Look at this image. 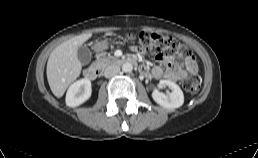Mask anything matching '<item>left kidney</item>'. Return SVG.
<instances>
[{
	"instance_id": "1",
	"label": "left kidney",
	"mask_w": 258,
	"mask_h": 158,
	"mask_svg": "<svg viewBox=\"0 0 258 158\" xmlns=\"http://www.w3.org/2000/svg\"><path fill=\"white\" fill-rule=\"evenodd\" d=\"M165 86H168L171 89V92L168 95H165L155 89L152 92L153 100L164 108L175 109L181 107L184 103V94L181 88L170 80H160L159 87L163 88Z\"/></svg>"
}]
</instances>
